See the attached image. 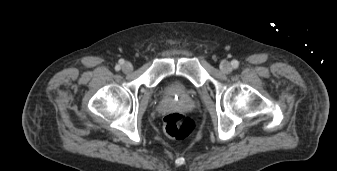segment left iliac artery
Instances as JSON below:
<instances>
[{"mask_svg": "<svg viewBox=\"0 0 337 171\" xmlns=\"http://www.w3.org/2000/svg\"><path fill=\"white\" fill-rule=\"evenodd\" d=\"M231 64L233 68H237L239 66V62L237 60H233Z\"/></svg>", "mask_w": 337, "mask_h": 171, "instance_id": "obj_1", "label": "left iliac artery"}]
</instances>
